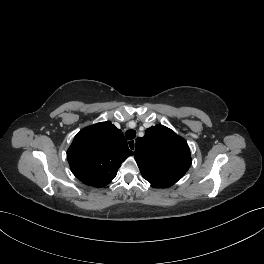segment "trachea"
I'll return each instance as SVG.
<instances>
[{
    "mask_svg": "<svg viewBox=\"0 0 264 264\" xmlns=\"http://www.w3.org/2000/svg\"><path fill=\"white\" fill-rule=\"evenodd\" d=\"M125 136L128 140H132L136 136V131L135 130H128V131H126Z\"/></svg>",
    "mask_w": 264,
    "mask_h": 264,
    "instance_id": "obj_1",
    "label": "trachea"
}]
</instances>
